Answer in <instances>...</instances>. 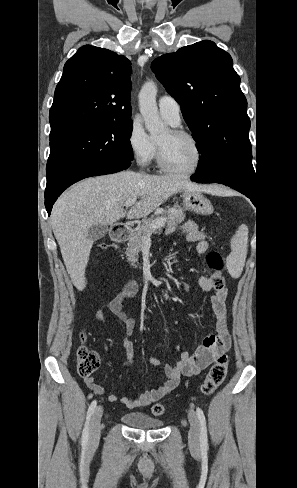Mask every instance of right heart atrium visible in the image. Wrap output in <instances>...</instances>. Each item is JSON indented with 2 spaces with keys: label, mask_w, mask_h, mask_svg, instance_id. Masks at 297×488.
<instances>
[{
  "label": "right heart atrium",
  "mask_w": 297,
  "mask_h": 488,
  "mask_svg": "<svg viewBox=\"0 0 297 488\" xmlns=\"http://www.w3.org/2000/svg\"><path fill=\"white\" fill-rule=\"evenodd\" d=\"M127 144L136 160L141 164L151 161L155 155L156 144L146 133L140 118L132 119L127 134Z\"/></svg>",
  "instance_id": "d8ad5b80"
}]
</instances>
